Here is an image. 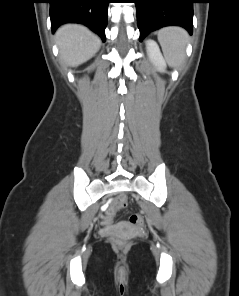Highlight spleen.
I'll list each match as a JSON object with an SVG mask.
<instances>
[{
    "instance_id": "spleen-1",
    "label": "spleen",
    "mask_w": 239,
    "mask_h": 296,
    "mask_svg": "<svg viewBox=\"0 0 239 296\" xmlns=\"http://www.w3.org/2000/svg\"><path fill=\"white\" fill-rule=\"evenodd\" d=\"M158 41L167 63L178 68L185 59L187 32L180 27H166L158 32Z\"/></svg>"
}]
</instances>
